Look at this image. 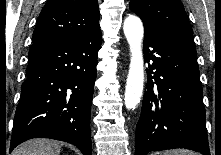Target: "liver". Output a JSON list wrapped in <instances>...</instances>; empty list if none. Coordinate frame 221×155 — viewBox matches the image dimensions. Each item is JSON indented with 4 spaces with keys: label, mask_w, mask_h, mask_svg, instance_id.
<instances>
[{
    "label": "liver",
    "mask_w": 221,
    "mask_h": 155,
    "mask_svg": "<svg viewBox=\"0 0 221 155\" xmlns=\"http://www.w3.org/2000/svg\"><path fill=\"white\" fill-rule=\"evenodd\" d=\"M59 142L48 139H32L18 146L13 155H59Z\"/></svg>",
    "instance_id": "6515ba94"
}]
</instances>
